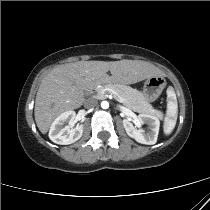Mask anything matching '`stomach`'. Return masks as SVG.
<instances>
[{
    "mask_svg": "<svg viewBox=\"0 0 210 210\" xmlns=\"http://www.w3.org/2000/svg\"><path fill=\"white\" fill-rule=\"evenodd\" d=\"M166 86V81L161 76H154L146 79L143 87V94L147 101H155Z\"/></svg>",
    "mask_w": 210,
    "mask_h": 210,
    "instance_id": "obj_1",
    "label": "stomach"
}]
</instances>
